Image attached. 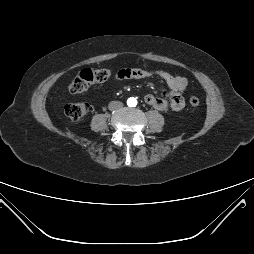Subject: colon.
<instances>
[{"mask_svg": "<svg viewBox=\"0 0 254 254\" xmlns=\"http://www.w3.org/2000/svg\"><path fill=\"white\" fill-rule=\"evenodd\" d=\"M112 76L109 69H83L70 83L69 90L73 93H80L87 90L96 83L108 81ZM189 103L192 107H198L200 100L197 97H191ZM89 111V105L84 102L69 103L65 105L64 112L68 118L73 121H81Z\"/></svg>", "mask_w": 254, "mask_h": 254, "instance_id": "obj_1", "label": "colon"}]
</instances>
